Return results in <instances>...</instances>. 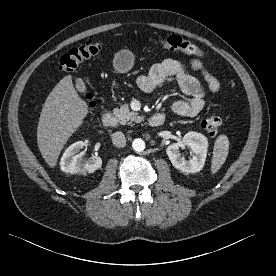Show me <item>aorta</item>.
<instances>
[{"label":"aorta","instance_id":"762f6f07","mask_svg":"<svg viewBox=\"0 0 276 276\" xmlns=\"http://www.w3.org/2000/svg\"><path fill=\"white\" fill-rule=\"evenodd\" d=\"M132 148L136 152H142L145 149V142L144 140L137 138L132 142Z\"/></svg>","mask_w":276,"mask_h":276}]
</instances>
